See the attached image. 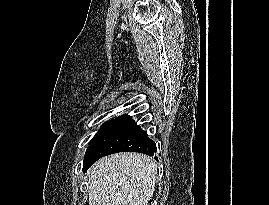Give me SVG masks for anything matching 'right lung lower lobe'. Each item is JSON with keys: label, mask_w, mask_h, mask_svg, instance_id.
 Here are the masks:
<instances>
[{"label": "right lung lower lobe", "mask_w": 269, "mask_h": 205, "mask_svg": "<svg viewBox=\"0 0 269 205\" xmlns=\"http://www.w3.org/2000/svg\"><path fill=\"white\" fill-rule=\"evenodd\" d=\"M155 151L156 145L146 132L130 116L122 115L113 119L90 142L84 157L83 171H87L101 157L113 153L139 152L153 156Z\"/></svg>", "instance_id": "obj_1"}]
</instances>
